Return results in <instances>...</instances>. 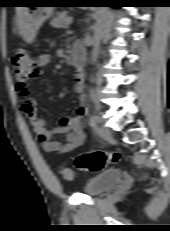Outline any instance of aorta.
Here are the masks:
<instances>
[{"instance_id": "1", "label": "aorta", "mask_w": 170, "mask_h": 231, "mask_svg": "<svg viewBox=\"0 0 170 231\" xmlns=\"http://www.w3.org/2000/svg\"><path fill=\"white\" fill-rule=\"evenodd\" d=\"M108 13V7H99L96 24L94 26L93 50L91 52V62L95 63L99 56L100 43L103 36L104 21Z\"/></svg>"}]
</instances>
